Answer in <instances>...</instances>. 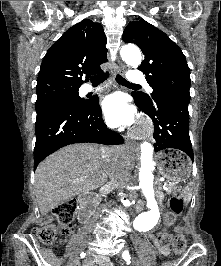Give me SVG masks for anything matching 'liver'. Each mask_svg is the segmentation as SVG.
<instances>
[{
    "instance_id": "1",
    "label": "liver",
    "mask_w": 221,
    "mask_h": 266,
    "mask_svg": "<svg viewBox=\"0 0 221 266\" xmlns=\"http://www.w3.org/2000/svg\"><path fill=\"white\" fill-rule=\"evenodd\" d=\"M103 147L95 144L66 146L42 161L35 172V194L42 216L73 197L104 185L109 177ZM126 174L133 159L124 146L109 148Z\"/></svg>"
}]
</instances>
